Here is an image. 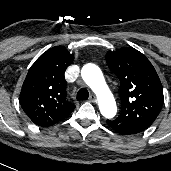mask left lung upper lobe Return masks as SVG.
Listing matches in <instances>:
<instances>
[{
  "mask_svg": "<svg viewBox=\"0 0 171 171\" xmlns=\"http://www.w3.org/2000/svg\"><path fill=\"white\" fill-rule=\"evenodd\" d=\"M106 61L121 82L122 109L112 123L152 124L162 109L164 97L160 79L150 61L130 47L108 52Z\"/></svg>",
  "mask_w": 171,
  "mask_h": 171,
  "instance_id": "5c2ea615",
  "label": "left lung upper lobe"
}]
</instances>
